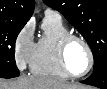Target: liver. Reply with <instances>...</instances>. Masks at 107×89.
I'll list each match as a JSON object with an SVG mask.
<instances>
[{
    "instance_id": "6515ba94",
    "label": "liver",
    "mask_w": 107,
    "mask_h": 89,
    "mask_svg": "<svg viewBox=\"0 0 107 89\" xmlns=\"http://www.w3.org/2000/svg\"><path fill=\"white\" fill-rule=\"evenodd\" d=\"M84 89L49 76L35 75L19 77L12 81H1L0 89Z\"/></svg>"
}]
</instances>
